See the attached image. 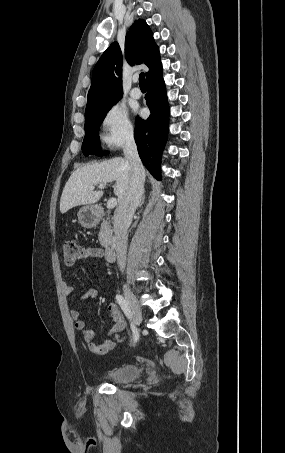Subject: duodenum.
Here are the masks:
<instances>
[{"instance_id":"obj_1","label":"duodenum","mask_w":285,"mask_h":453,"mask_svg":"<svg viewBox=\"0 0 285 453\" xmlns=\"http://www.w3.org/2000/svg\"><path fill=\"white\" fill-rule=\"evenodd\" d=\"M99 214L102 215V211H99ZM117 250L116 245L113 240L106 242L104 246V257L106 261L113 262L116 258Z\"/></svg>"}]
</instances>
